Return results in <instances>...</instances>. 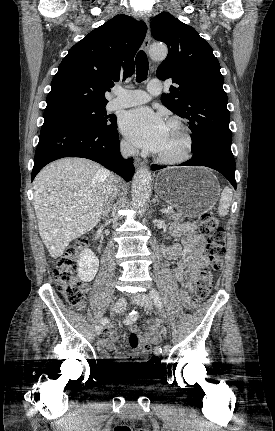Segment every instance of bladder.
I'll return each mask as SVG.
<instances>
[{
    "mask_svg": "<svg viewBox=\"0 0 275 431\" xmlns=\"http://www.w3.org/2000/svg\"><path fill=\"white\" fill-rule=\"evenodd\" d=\"M111 374L115 377H125L124 375H126L125 373L127 371L132 372V374L134 375H140L138 373H140L143 369V366H139L137 364H132V363H120V364H116L114 366H111ZM145 379H135V381H142L144 382Z\"/></svg>",
    "mask_w": 275,
    "mask_h": 431,
    "instance_id": "1",
    "label": "bladder"
}]
</instances>
